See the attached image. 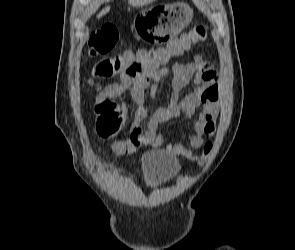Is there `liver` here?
<instances>
[{
    "label": "liver",
    "instance_id": "1",
    "mask_svg": "<svg viewBox=\"0 0 295 250\" xmlns=\"http://www.w3.org/2000/svg\"><path fill=\"white\" fill-rule=\"evenodd\" d=\"M155 0H128V3L132 6L135 7H142L146 4L152 3ZM110 11V6L105 7L104 9L101 10V12L97 15V17H102L106 15Z\"/></svg>",
    "mask_w": 295,
    "mask_h": 250
}]
</instances>
